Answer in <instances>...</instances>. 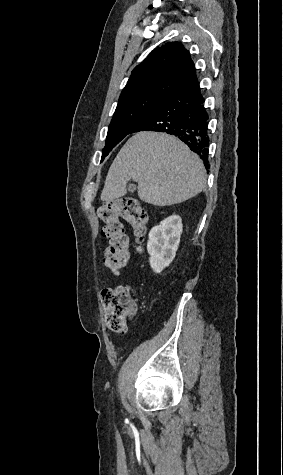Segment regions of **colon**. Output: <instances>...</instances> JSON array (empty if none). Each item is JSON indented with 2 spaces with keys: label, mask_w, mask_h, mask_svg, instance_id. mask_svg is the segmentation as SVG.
Masks as SVG:
<instances>
[{
  "label": "colon",
  "mask_w": 283,
  "mask_h": 475,
  "mask_svg": "<svg viewBox=\"0 0 283 475\" xmlns=\"http://www.w3.org/2000/svg\"><path fill=\"white\" fill-rule=\"evenodd\" d=\"M104 223L103 233L108 241L103 259L114 275L121 274L129 262V249L122 220L130 223L135 236L142 240L148 230V214L138 201L128 197L107 202L99 211ZM99 297L105 305V322L113 332L124 333L136 312L132 289L124 284L101 290Z\"/></svg>",
  "instance_id": "obj_1"
}]
</instances>
